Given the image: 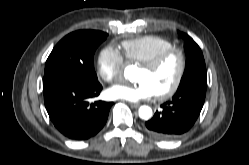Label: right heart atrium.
<instances>
[{
  "label": "right heart atrium",
  "instance_id": "d8ad5b80",
  "mask_svg": "<svg viewBox=\"0 0 249 165\" xmlns=\"http://www.w3.org/2000/svg\"><path fill=\"white\" fill-rule=\"evenodd\" d=\"M125 60L122 54L111 46L104 47L97 59V74L105 82L120 78Z\"/></svg>",
  "mask_w": 249,
  "mask_h": 165
}]
</instances>
